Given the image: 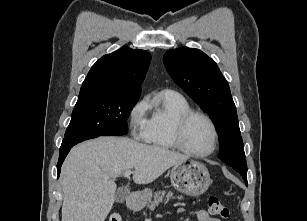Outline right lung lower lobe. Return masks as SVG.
I'll use <instances>...</instances> for the list:
<instances>
[{
	"mask_svg": "<svg viewBox=\"0 0 307 221\" xmlns=\"http://www.w3.org/2000/svg\"><path fill=\"white\" fill-rule=\"evenodd\" d=\"M70 149H71V148H69V149H67V150H64V151L60 152V157H59V160H58V163H57V168H58V169H57V173H58V177H59L60 171H61L60 167H61V165H62V163H63L65 157L67 156L68 152L70 151Z\"/></svg>",
	"mask_w": 307,
	"mask_h": 221,
	"instance_id": "obj_1",
	"label": "right lung lower lobe"
}]
</instances>
